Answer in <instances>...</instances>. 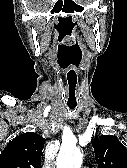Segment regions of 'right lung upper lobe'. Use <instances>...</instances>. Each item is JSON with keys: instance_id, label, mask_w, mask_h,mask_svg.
Returning a JSON list of instances; mask_svg holds the SVG:
<instances>
[{"instance_id": "1", "label": "right lung upper lobe", "mask_w": 127, "mask_h": 168, "mask_svg": "<svg viewBox=\"0 0 127 168\" xmlns=\"http://www.w3.org/2000/svg\"><path fill=\"white\" fill-rule=\"evenodd\" d=\"M45 139L28 132L10 141L0 155V168H41Z\"/></svg>"}]
</instances>
